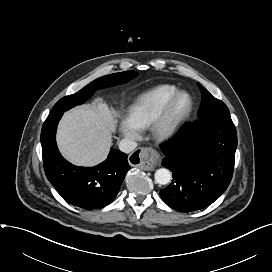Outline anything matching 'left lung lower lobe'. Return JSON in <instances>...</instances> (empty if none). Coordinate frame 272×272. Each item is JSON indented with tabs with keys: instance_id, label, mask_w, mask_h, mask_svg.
Segmentation results:
<instances>
[{
	"instance_id": "left-lung-lower-lobe-1",
	"label": "left lung lower lobe",
	"mask_w": 272,
	"mask_h": 272,
	"mask_svg": "<svg viewBox=\"0 0 272 272\" xmlns=\"http://www.w3.org/2000/svg\"><path fill=\"white\" fill-rule=\"evenodd\" d=\"M236 148L237 133L229 112L186 125L161 147L162 165L173 172V180L160 196L180 212L209 206L230 184Z\"/></svg>"
}]
</instances>
